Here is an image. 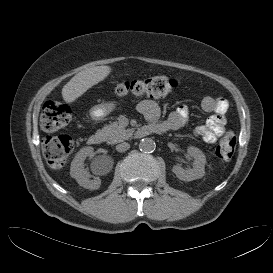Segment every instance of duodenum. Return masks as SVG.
<instances>
[{"mask_svg":"<svg viewBox=\"0 0 273 273\" xmlns=\"http://www.w3.org/2000/svg\"><path fill=\"white\" fill-rule=\"evenodd\" d=\"M168 130L169 127L165 122L158 121L140 126L136 130V133L138 136L142 137L147 134H162ZM104 140L105 135L102 132H96L89 137L88 142L90 145H100Z\"/></svg>","mask_w":273,"mask_h":273,"instance_id":"obj_1","label":"duodenum"}]
</instances>
